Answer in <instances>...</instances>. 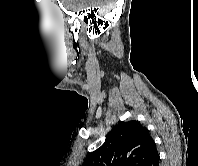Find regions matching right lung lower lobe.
<instances>
[{
  "label": "right lung lower lobe",
  "mask_w": 198,
  "mask_h": 166,
  "mask_svg": "<svg viewBox=\"0 0 198 166\" xmlns=\"http://www.w3.org/2000/svg\"><path fill=\"white\" fill-rule=\"evenodd\" d=\"M159 160H160L159 154H156V155L152 158V160L148 163L147 166H159Z\"/></svg>",
  "instance_id": "1"
}]
</instances>
